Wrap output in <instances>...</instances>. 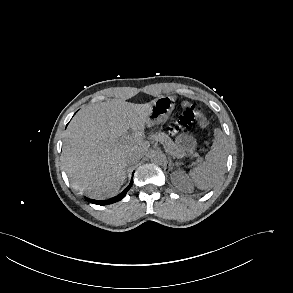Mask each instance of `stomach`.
Instances as JSON below:
<instances>
[{"instance_id":"0dacf381","label":"stomach","mask_w":293,"mask_h":293,"mask_svg":"<svg viewBox=\"0 0 293 293\" xmlns=\"http://www.w3.org/2000/svg\"><path fill=\"white\" fill-rule=\"evenodd\" d=\"M175 101L170 96H162L155 100L146 124L152 127L157 124L165 123L174 110ZM197 140L193 135L183 133L176 138V147L182 156H191L196 149Z\"/></svg>"}]
</instances>
